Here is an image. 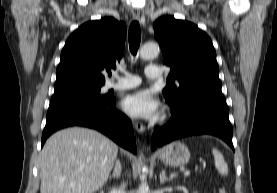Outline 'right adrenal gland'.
<instances>
[{
  "label": "right adrenal gland",
  "mask_w": 277,
  "mask_h": 193,
  "mask_svg": "<svg viewBox=\"0 0 277 193\" xmlns=\"http://www.w3.org/2000/svg\"><path fill=\"white\" fill-rule=\"evenodd\" d=\"M121 170H122L121 162L119 159H116L115 167H114L113 173L110 177V180L112 178L119 179L121 176Z\"/></svg>",
  "instance_id": "obj_1"
}]
</instances>
